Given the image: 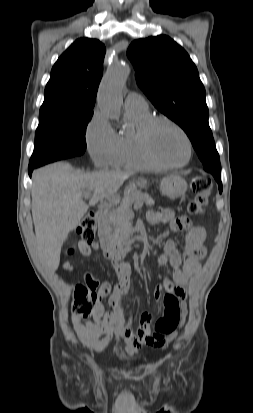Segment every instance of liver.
<instances>
[{
  "label": "liver",
  "instance_id": "liver-1",
  "mask_svg": "<svg viewBox=\"0 0 253 413\" xmlns=\"http://www.w3.org/2000/svg\"><path fill=\"white\" fill-rule=\"evenodd\" d=\"M130 175L118 171H72L63 162L34 172L32 217L38 256L45 267L53 272L58 269L63 242L80 224L89 205L115 195ZM86 191H93L89 205L82 200Z\"/></svg>",
  "mask_w": 253,
  "mask_h": 413
}]
</instances>
